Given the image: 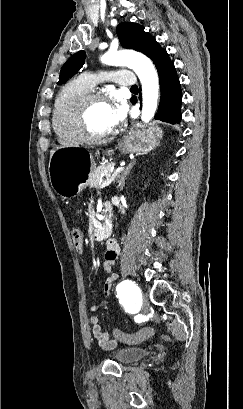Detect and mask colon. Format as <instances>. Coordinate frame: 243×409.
Returning <instances> with one entry per match:
<instances>
[{
    "instance_id": "obj_1",
    "label": "colon",
    "mask_w": 243,
    "mask_h": 409,
    "mask_svg": "<svg viewBox=\"0 0 243 409\" xmlns=\"http://www.w3.org/2000/svg\"><path fill=\"white\" fill-rule=\"evenodd\" d=\"M72 240L74 246L78 252H81L83 249V233L79 229H75L72 232ZM153 333V330L150 327L143 328L139 333L135 335H127L121 332L118 329H114V337L124 343L133 344L138 343L139 341L149 338Z\"/></svg>"
}]
</instances>
